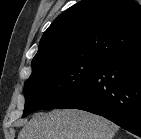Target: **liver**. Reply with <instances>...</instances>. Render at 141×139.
Returning <instances> with one entry per match:
<instances>
[{"label": "liver", "mask_w": 141, "mask_h": 139, "mask_svg": "<svg viewBox=\"0 0 141 139\" xmlns=\"http://www.w3.org/2000/svg\"><path fill=\"white\" fill-rule=\"evenodd\" d=\"M118 129L99 115L63 109L35 114L25 123L18 139H113Z\"/></svg>", "instance_id": "1"}]
</instances>
